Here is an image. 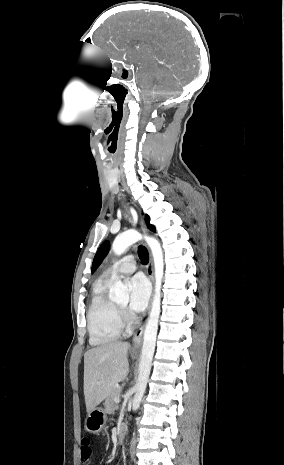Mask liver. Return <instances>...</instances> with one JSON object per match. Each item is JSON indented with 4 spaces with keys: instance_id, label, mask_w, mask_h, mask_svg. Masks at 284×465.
<instances>
[{
    "instance_id": "liver-1",
    "label": "liver",
    "mask_w": 284,
    "mask_h": 465,
    "mask_svg": "<svg viewBox=\"0 0 284 465\" xmlns=\"http://www.w3.org/2000/svg\"><path fill=\"white\" fill-rule=\"evenodd\" d=\"M129 343L112 341L95 349H89L84 355V397L86 411L96 409L116 383L124 381L129 373L127 353Z\"/></svg>"
}]
</instances>
